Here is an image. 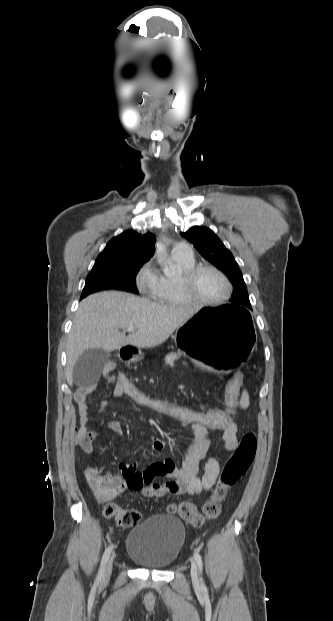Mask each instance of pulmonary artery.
Masks as SVG:
<instances>
[{
	"label": "pulmonary artery",
	"instance_id": "e3ab8cb5",
	"mask_svg": "<svg viewBox=\"0 0 333 621\" xmlns=\"http://www.w3.org/2000/svg\"><path fill=\"white\" fill-rule=\"evenodd\" d=\"M172 254L186 257V258L193 257V252H192L191 247L185 242L177 243L172 249Z\"/></svg>",
	"mask_w": 333,
	"mask_h": 621
}]
</instances>
